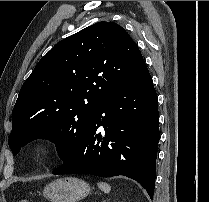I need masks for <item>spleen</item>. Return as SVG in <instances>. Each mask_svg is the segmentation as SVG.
Masks as SVG:
<instances>
[{
    "mask_svg": "<svg viewBox=\"0 0 209 202\" xmlns=\"http://www.w3.org/2000/svg\"><path fill=\"white\" fill-rule=\"evenodd\" d=\"M97 186L99 189H101L105 193H109L111 190L110 185H108L107 183H104V182L97 183Z\"/></svg>",
    "mask_w": 209,
    "mask_h": 202,
    "instance_id": "spleen-1",
    "label": "spleen"
}]
</instances>
